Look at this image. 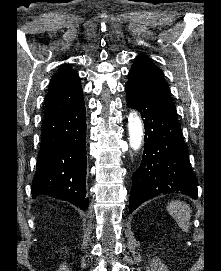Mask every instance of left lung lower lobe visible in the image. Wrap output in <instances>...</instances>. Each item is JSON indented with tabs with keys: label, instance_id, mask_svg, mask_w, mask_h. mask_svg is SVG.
I'll return each instance as SVG.
<instances>
[{
	"label": "left lung lower lobe",
	"instance_id": "1",
	"mask_svg": "<svg viewBox=\"0 0 221 271\" xmlns=\"http://www.w3.org/2000/svg\"><path fill=\"white\" fill-rule=\"evenodd\" d=\"M127 104L144 118L145 143L140 167L132 177L129 212L146 200L180 192L197 199V179L191 168L177 115L127 84Z\"/></svg>",
	"mask_w": 221,
	"mask_h": 271
}]
</instances>
